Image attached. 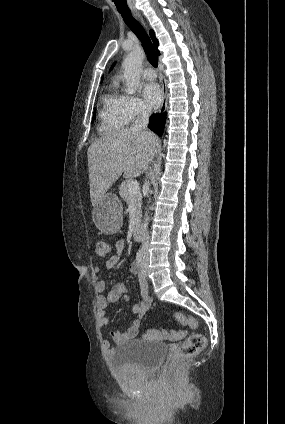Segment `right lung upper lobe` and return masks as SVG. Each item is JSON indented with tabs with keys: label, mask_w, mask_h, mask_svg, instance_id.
<instances>
[{
	"label": "right lung upper lobe",
	"mask_w": 285,
	"mask_h": 424,
	"mask_svg": "<svg viewBox=\"0 0 285 424\" xmlns=\"http://www.w3.org/2000/svg\"><path fill=\"white\" fill-rule=\"evenodd\" d=\"M150 36H151V38H152V40H153V43H154V45H155V48L157 49V47H158V40L156 39V37H155V34H154V32L151 30L150 31ZM158 51V50H157ZM158 53H159V51H158ZM160 54V53H159Z\"/></svg>",
	"instance_id": "right-lung-upper-lobe-1"
}]
</instances>
